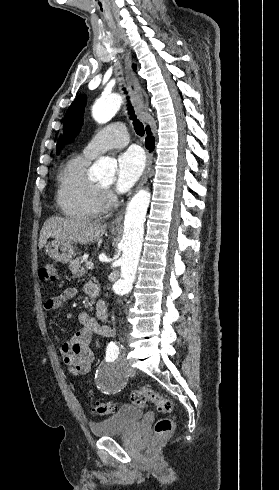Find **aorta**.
Returning <instances> with one entry per match:
<instances>
[{
    "mask_svg": "<svg viewBox=\"0 0 279 490\" xmlns=\"http://www.w3.org/2000/svg\"><path fill=\"white\" fill-rule=\"evenodd\" d=\"M122 104L118 94L99 98L92 107V116L99 124L111 120ZM116 162L110 158H100L93 166L92 173L98 180H111L116 170ZM151 194L140 190L127 206L124 219V232L121 241L120 278L114 283L115 294L124 295L132 290L139 263L144 236V222Z\"/></svg>",
    "mask_w": 279,
    "mask_h": 490,
    "instance_id": "762f6f07",
    "label": "aorta"
}]
</instances>
